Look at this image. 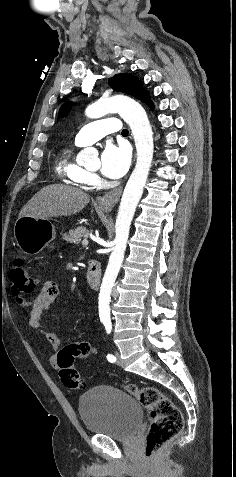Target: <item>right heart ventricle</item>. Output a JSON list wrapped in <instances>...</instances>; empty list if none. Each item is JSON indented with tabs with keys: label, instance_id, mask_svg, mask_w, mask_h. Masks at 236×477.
<instances>
[{
	"label": "right heart ventricle",
	"instance_id": "1",
	"mask_svg": "<svg viewBox=\"0 0 236 477\" xmlns=\"http://www.w3.org/2000/svg\"><path fill=\"white\" fill-rule=\"evenodd\" d=\"M77 147L81 145L76 144ZM57 174L73 185H86L92 182V176L82 166L77 164L72 156V150L65 151L58 159L56 165Z\"/></svg>",
	"mask_w": 236,
	"mask_h": 477
}]
</instances>
